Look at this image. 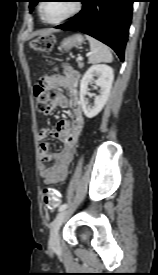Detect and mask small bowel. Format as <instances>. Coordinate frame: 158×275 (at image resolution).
I'll return each instance as SVG.
<instances>
[{"mask_svg":"<svg viewBox=\"0 0 158 275\" xmlns=\"http://www.w3.org/2000/svg\"><path fill=\"white\" fill-rule=\"evenodd\" d=\"M79 80V72L71 67L66 68L63 75L45 76L42 79L46 87L56 90L52 109L57 106L70 107L73 116L72 122L59 120L53 131L48 127H42L38 132L40 176L46 184H57L65 180L84 127V115L78 91ZM50 134L63 144L59 153L52 154L49 151L46 139ZM47 163L51 165L47 166Z\"/></svg>","mask_w":158,"mask_h":275,"instance_id":"c3829d8e","label":"small bowel"}]
</instances>
